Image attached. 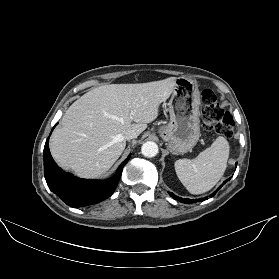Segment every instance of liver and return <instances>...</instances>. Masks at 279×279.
Returning <instances> with one entry per match:
<instances>
[{
	"label": "liver",
	"instance_id": "obj_1",
	"mask_svg": "<svg viewBox=\"0 0 279 279\" xmlns=\"http://www.w3.org/2000/svg\"><path fill=\"white\" fill-rule=\"evenodd\" d=\"M176 80L110 84L87 92L54 130L49 144L52 157L77 176H101L123 153L126 133L134 130L139 135L158 117L159 106L170 97Z\"/></svg>",
	"mask_w": 279,
	"mask_h": 279
}]
</instances>
